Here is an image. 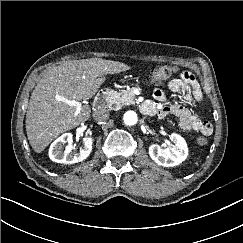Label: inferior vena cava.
<instances>
[{
  "mask_svg": "<svg viewBox=\"0 0 243 243\" xmlns=\"http://www.w3.org/2000/svg\"><path fill=\"white\" fill-rule=\"evenodd\" d=\"M93 117L97 121H105L109 118V111L105 108H100L94 112Z\"/></svg>",
  "mask_w": 243,
  "mask_h": 243,
  "instance_id": "602c4592",
  "label": "inferior vena cava"
}]
</instances>
